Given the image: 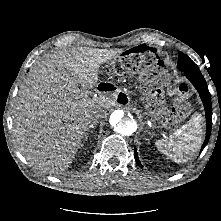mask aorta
Wrapping results in <instances>:
<instances>
[{"instance_id": "obj_1", "label": "aorta", "mask_w": 221, "mask_h": 221, "mask_svg": "<svg viewBox=\"0 0 221 221\" xmlns=\"http://www.w3.org/2000/svg\"><path fill=\"white\" fill-rule=\"evenodd\" d=\"M112 130L120 136H130L138 129V122L134 115L122 110L115 111L110 117Z\"/></svg>"}]
</instances>
